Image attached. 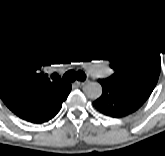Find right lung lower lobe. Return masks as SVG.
<instances>
[{
	"label": "right lung lower lobe",
	"mask_w": 165,
	"mask_h": 156,
	"mask_svg": "<svg viewBox=\"0 0 165 156\" xmlns=\"http://www.w3.org/2000/svg\"><path fill=\"white\" fill-rule=\"evenodd\" d=\"M71 91V85L70 88L67 90V92L48 110H46L45 112L34 116L26 121L32 122V123H43L46 122L50 119H52L60 110L62 103L66 100L67 96L69 95Z\"/></svg>",
	"instance_id": "right-lung-lower-lobe-1"
}]
</instances>
